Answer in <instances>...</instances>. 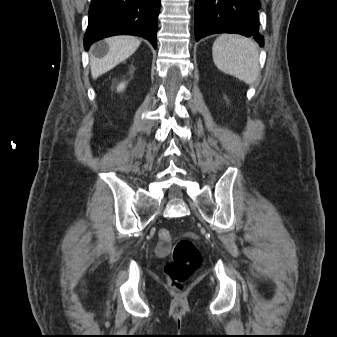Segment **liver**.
<instances>
[{
  "instance_id": "6515ba94",
  "label": "liver",
  "mask_w": 337,
  "mask_h": 337,
  "mask_svg": "<svg viewBox=\"0 0 337 337\" xmlns=\"http://www.w3.org/2000/svg\"><path fill=\"white\" fill-rule=\"evenodd\" d=\"M108 51L103 58H93L91 60V74L93 79L108 72L116 65L130 57L139 47L138 38L129 35H119L107 38L104 41Z\"/></svg>"
}]
</instances>
